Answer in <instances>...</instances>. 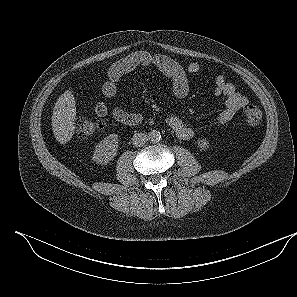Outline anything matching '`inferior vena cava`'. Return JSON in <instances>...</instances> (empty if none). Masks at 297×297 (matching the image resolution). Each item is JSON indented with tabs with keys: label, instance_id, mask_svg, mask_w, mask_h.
Segmentation results:
<instances>
[{
	"label": "inferior vena cava",
	"instance_id": "602c4592",
	"mask_svg": "<svg viewBox=\"0 0 297 297\" xmlns=\"http://www.w3.org/2000/svg\"><path fill=\"white\" fill-rule=\"evenodd\" d=\"M132 140L135 147H140L146 144L148 136L145 133L137 132L133 135Z\"/></svg>",
	"mask_w": 297,
	"mask_h": 297
}]
</instances>
